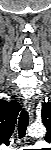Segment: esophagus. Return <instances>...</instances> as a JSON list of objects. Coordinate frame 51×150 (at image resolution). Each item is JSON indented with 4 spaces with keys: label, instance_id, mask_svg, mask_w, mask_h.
<instances>
[{
    "label": "esophagus",
    "instance_id": "esophagus-1",
    "mask_svg": "<svg viewBox=\"0 0 51 150\" xmlns=\"http://www.w3.org/2000/svg\"><path fill=\"white\" fill-rule=\"evenodd\" d=\"M24 105H25V108L28 110L29 112V116L30 118L32 119L33 118V113H34V105H33V102L29 99H26L24 101Z\"/></svg>",
    "mask_w": 51,
    "mask_h": 150
}]
</instances>
